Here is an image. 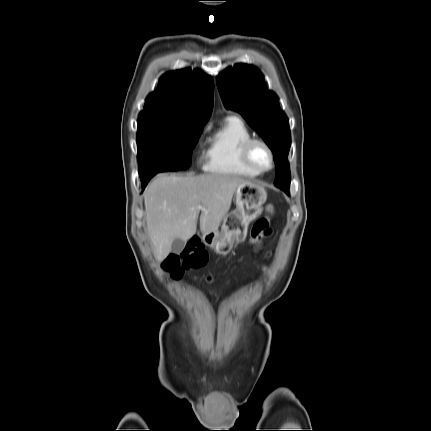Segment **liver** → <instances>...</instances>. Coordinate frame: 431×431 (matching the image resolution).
I'll return each mask as SVG.
<instances>
[{
  "label": "liver",
  "instance_id": "1",
  "mask_svg": "<svg viewBox=\"0 0 431 431\" xmlns=\"http://www.w3.org/2000/svg\"><path fill=\"white\" fill-rule=\"evenodd\" d=\"M249 181L234 175H167L155 177L144 192L147 231L154 255L164 260L174 239L187 241L195 235L201 205L200 230H217L230 209L237 188Z\"/></svg>",
  "mask_w": 431,
  "mask_h": 431
}]
</instances>
